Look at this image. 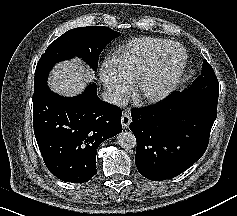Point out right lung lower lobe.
I'll return each instance as SVG.
<instances>
[{
    "label": "right lung lower lobe",
    "instance_id": "right-lung-lower-lobe-1",
    "mask_svg": "<svg viewBox=\"0 0 237 216\" xmlns=\"http://www.w3.org/2000/svg\"><path fill=\"white\" fill-rule=\"evenodd\" d=\"M96 90L92 84L68 98L46 84L34 92L35 137L47 168L62 181H89L97 173L99 144L122 131L121 109L100 100Z\"/></svg>",
    "mask_w": 237,
    "mask_h": 216
}]
</instances>
